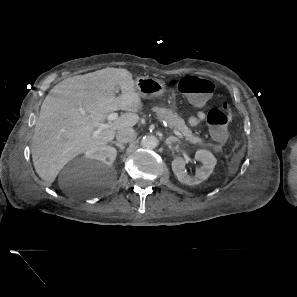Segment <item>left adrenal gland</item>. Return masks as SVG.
<instances>
[{"label": "left adrenal gland", "mask_w": 297, "mask_h": 297, "mask_svg": "<svg viewBox=\"0 0 297 297\" xmlns=\"http://www.w3.org/2000/svg\"><path fill=\"white\" fill-rule=\"evenodd\" d=\"M173 143H180V140L176 137H169L165 140L166 145H171Z\"/></svg>", "instance_id": "a2214340"}]
</instances>
